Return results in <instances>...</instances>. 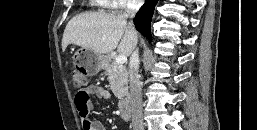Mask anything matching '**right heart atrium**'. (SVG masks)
I'll return each instance as SVG.
<instances>
[{
    "label": "right heart atrium",
    "instance_id": "1",
    "mask_svg": "<svg viewBox=\"0 0 257 130\" xmlns=\"http://www.w3.org/2000/svg\"><path fill=\"white\" fill-rule=\"evenodd\" d=\"M105 7L111 9H123L135 7L140 4L142 0H105Z\"/></svg>",
    "mask_w": 257,
    "mask_h": 130
}]
</instances>
